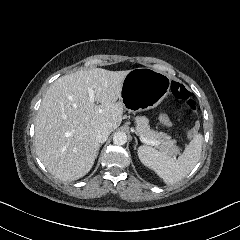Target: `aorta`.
<instances>
[{"label":"aorta","mask_w":240,"mask_h":240,"mask_svg":"<svg viewBox=\"0 0 240 240\" xmlns=\"http://www.w3.org/2000/svg\"><path fill=\"white\" fill-rule=\"evenodd\" d=\"M127 142V135L125 132L118 131L114 133L113 143L115 145H124Z\"/></svg>","instance_id":"aorta-1"}]
</instances>
